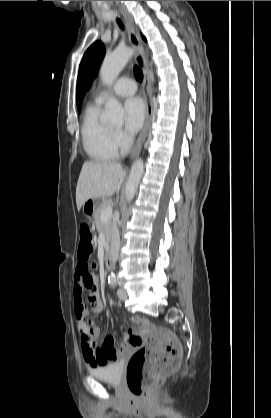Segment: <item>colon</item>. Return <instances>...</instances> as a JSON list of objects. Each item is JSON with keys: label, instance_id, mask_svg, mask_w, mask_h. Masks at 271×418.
<instances>
[{"label": "colon", "instance_id": "1", "mask_svg": "<svg viewBox=\"0 0 271 418\" xmlns=\"http://www.w3.org/2000/svg\"><path fill=\"white\" fill-rule=\"evenodd\" d=\"M94 249V238L87 223L79 225L78 258L89 259ZM78 314H86L80 311ZM148 328L142 319H136ZM181 346L177 338L165 328H148L146 345L136 351L127 365L126 380L130 392L141 397L158 379L175 372L181 361Z\"/></svg>", "mask_w": 271, "mask_h": 418}]
</instances>
